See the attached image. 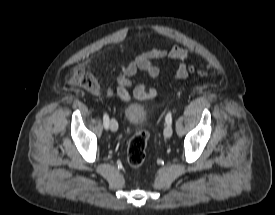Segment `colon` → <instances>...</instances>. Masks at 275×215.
Listing matches in <instances>:
<instances>
[{"label": "colon", "instance_id": "obj_1", "mask_svg": "<svg viewBox=\"0 0 275 215\" xmlns=\"http://www.w3.org/2000/svg\"><path fill=\"white\" fill-rule=\"evenodd\" d=\"M188 73L205 76L208 73V69L203 66L197 69L189 68L187 70ZM71 83L90 93H97L99 91L98 81L91 73L83 69H77L73 72ZM148 138V132L143 128H140L131 138L127 150V162L131 167H139L144 162Z\"/></svg>", "mask_w": 275, "mask_h": 215}]
</instances>
